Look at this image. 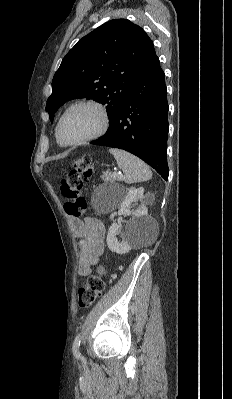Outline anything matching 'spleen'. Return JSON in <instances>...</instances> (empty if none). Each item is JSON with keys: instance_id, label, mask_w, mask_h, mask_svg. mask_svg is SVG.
<instances>
[{"instance_id": "3e777b00", "label": "spleen", "mask_w": 232, "mask_h": 399, "mask_svg": "<svg viewBox=\"0 0 232 399\" xmlns=\"http://www.w3.org/2000/svg\"><path fill=\"white\" fill-rule=\"evenodd\" d=\"M109 152L113 154L118 168L124 172L125 184H135V182H147V180H151L152 172L149 166L144 164L142 160H139L136 156H132L129 152H124V150H116V148H111Z\"/></svg>"}]
</instances>
